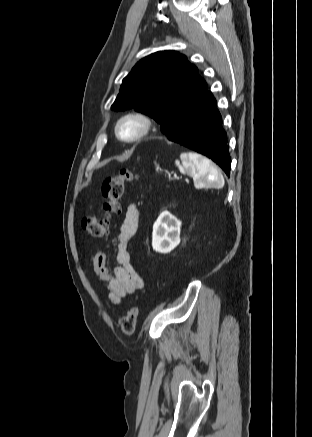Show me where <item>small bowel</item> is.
I'll use <instances>...</instances> for the list:
<instances>
[{
	"label": "small bowel",
	"mask_w": 312,
	"mask_h": 437,
	"mask_svg": "<svg viewBox=\"0 0 312 437\" xmlns=\"http://www.w3.org/2000/svg\"><path fill=\"white\" fill-rule=\"evenodd\" d=\"M139 223V209L134 203L127 206L124 219L115 237L116 260L118 266L108 267V256L103 250L96 251L90 260V268L100 282L108 288V297L119 304L129 294L143 288L144 282L131 263L129 243L135 235Z\"/></svg>",
	"instance_id": "1"
}]
</instances>
